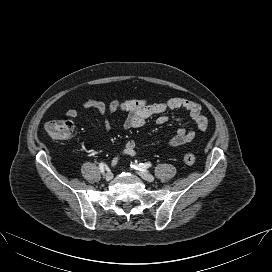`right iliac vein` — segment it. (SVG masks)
Returning a JSON list of instances; mask_svg holds the SVG:
<instances>
[{
    "instance_id": "1",
    "label": "right iliac vein",
    "mask_w": 272,
    "mask_h": 272,
    "mask_svg": "<svg viewBox=\"0 0 272 272\" xmlns=\"http://www.w3.org/2000/svg\"><path fill=\"white\" fill-rule=\"evenodd\" d=\"M113 178V173L108 171L106 174H105V180L106 181H110L111 179Z\"/></svg>"
}]
</instances>
